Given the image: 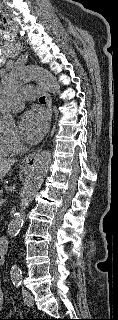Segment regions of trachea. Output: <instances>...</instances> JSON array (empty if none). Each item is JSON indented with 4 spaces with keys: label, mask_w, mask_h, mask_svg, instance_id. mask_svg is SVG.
<instances>
[{
    "label": "trachea",
    "mask_w": 118,
    "mask_h": 320,
    "mask_svg": "<svg viewBox=\"0 0 118 320\" xmlns=\"http://www.w3.org/2000/svg\"><path fill=\"white\" fill-rule=\"evenodd\" d=\"M39 101H40L41 103H45V97H41V98L39 99Z\"/></svg>",
    "instance_id": "3493384b"
}]
</instances>
